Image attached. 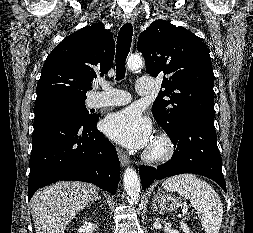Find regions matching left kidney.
I'll use <instances>...</instances> for the list:
<instances>
[{"mask_svg": "<svg viewBox=\"0 0 253 233\" xmlns=\"http://www.w3.org/2000/svg\"><path fill=\"white\" fill-rule=\"evenodd\" d=\"M180 226H181L184 233H191L190 228L188 227V225L186 223L180 222Z\"/></svg>", "mask_w": 253, "mask_h": 233, "instance_id": "5707ae66", "label": "left kidney"}]
</instances>
